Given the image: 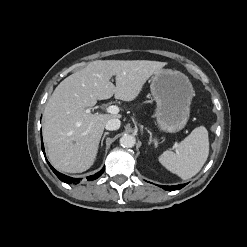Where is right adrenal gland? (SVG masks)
Returning a JSON list of instances; mask_svg holds the SVG:
<instances>
[{
	"label": "right adrenal gland",
	"instance_id": "obj_1",
	"mask_svg": "<svg viewBox=\"0 0 247 247\" xmlns=\"http://www.w3.org/2000/svg\"><path fill=\"white\" fill-rule=\"evenodd\" d=\"M108 134H109V132H105V133H104V135H103V137H102V139H101V147L103 146V141H104L106 135H108Z\"/></svg>",
	"mask_w": 247,
	"mask_h": 247
}]
</instances>
